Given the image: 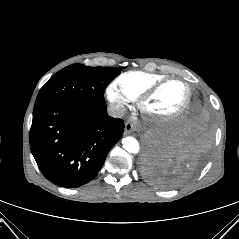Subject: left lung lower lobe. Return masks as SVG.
<instances>
[{
  "instance_id": "obj_1",
  "label": "left lung lower lobe",
  "mask_w": 239,
  "mask_h": 239,
  "mask_svg": "<svg viewBox=\"0 0 239 239\" xmlns=\"http://www.w3.org/2000/svg\"><path fill=\"white\" fill-rule=\"evenodd\" d=\"M211 137L208 112L195 103L171 129L149 141L142 162L144 176L163 188L184 183L203 165Z\"/></svg>"
}]
</instances>
